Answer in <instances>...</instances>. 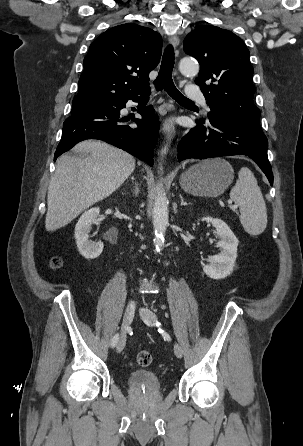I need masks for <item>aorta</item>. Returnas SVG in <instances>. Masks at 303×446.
<instances>
[{
	"label": "aorta",
	"instance_id": "aorta-1",
	"mask_svg": "<svg viewBox=\"0 0 303 446\" xmlns=\"http://www.w3.org/2000/svg\"><path fill=\"white\" fill-rule=\"evenodd\" d=\"M179 69L184 75H197L199 72V65L190 59H183L180 61ZM168 150V144L164 146L161 150L162 158L166 155ZM162 170V167H160ZM168 199L166 197V193L163 189L158 191V194L155 198V203L153 207L152 219H153V228H154V245L157 250H160L164 246L165 243V232L168 226Z\"/></svg>",
	"mask_w": 303,
	"mask_h": 446
}]
</instances>
